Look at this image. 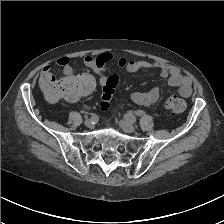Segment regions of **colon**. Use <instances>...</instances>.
<instances>
[{
  "label": "colon",
  "instance_id": "5ec220e1",
  "mask_svg": "<svg viewBox=\"0 0 224 224\" xmlns=\"http://www.w3.org/2000/svg\"><path fill=\"white\" fill-rule=\"evenodd\" d=\"M118 83V76L113 75L106 79L103 84V94L101 98V110L106 111L110 107V103ZM43 89L52 101L65 98L75 101L83 96L89 95L95 88V80L92 76L82 74L73 77H67L57 80L51 77L42 84ZM186 101L177 96L171 95L166 99L165 107L172 113H182L186 109Z\"/></svg>",
  "mask_w": 224,
  "mask_h": 224
}]
</instances>
